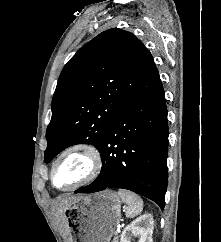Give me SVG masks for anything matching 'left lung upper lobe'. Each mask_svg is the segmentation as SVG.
<instances>
[{
  "instance_id": "5c2ea615",
  "label": "left lung upper lobe",
  "mask_w": 221,
  "mask_h": 242,
  "mask_svg": "<svg viewBox=\"0 0 221 242\" xmlns=\"http://www.w3.org/2000/svg\"><path fill=\"white\" fill-rule=\"evenodd\" d=\"M157 75L151 53L130 32L109 29L81 47L58 79L45 162L74 144L100 150L116 116Z\"/></svg>"
}]
</instances>
